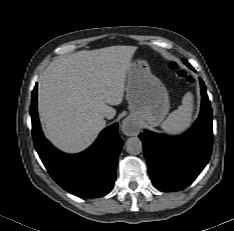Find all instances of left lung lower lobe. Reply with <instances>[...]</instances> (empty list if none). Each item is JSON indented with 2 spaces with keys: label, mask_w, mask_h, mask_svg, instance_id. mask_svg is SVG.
<instances>
[{
  "label": "left lung lower lobe",
  "mask_w": 234,
  "mask_h": 231,
  "mask_svg": "<svg viewBox=\"0 0 234 231\" xmlns=\"http://www.w3.org/2000/svg\"><path fill=\"white\" fill-rule=\"evenodd\" d=\"M185 64L194 70L188 62ZM200 84L201 112L189 131L177 137L151 131L139 135L151 180L161 191L184 189L194 181L210 159L213 145L212 111L202 79Z\"/></svg>",
  "instance_id": "0a47b994"
}]
</instances>
